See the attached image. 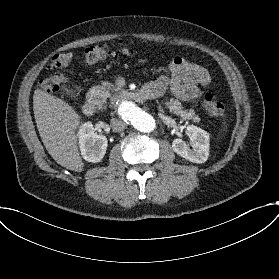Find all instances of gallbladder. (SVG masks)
<instances>
[{"label": "gallbladder", "mask_w": 279, "mask_h": 279, "mask_svg": "<svg viewBox=\"0 0 279 279\" xmlns=\"http://www.w3.org/2000/svg\"><path fill=\"white\" fill-rule=\"evenodd\" d=\"M60 92L64 96H66L74 101H78L80 99V90L78 88L70 87V86H61Z\"/></svg>", "instance_id": "bac80fb5"}]
</instances>
